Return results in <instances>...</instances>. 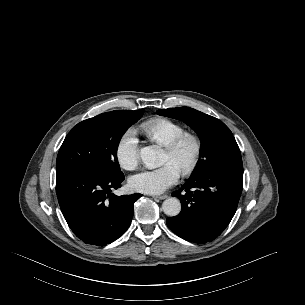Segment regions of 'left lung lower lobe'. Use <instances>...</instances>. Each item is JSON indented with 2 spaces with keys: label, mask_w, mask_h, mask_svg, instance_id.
Listing matches in <instances>:
<instances>
[{
  "label": "left lung lower lobe",
  "mask_w": 305,
  "mask_h": 305,
  "mask_svg": "<svg viewBox=\"0 0 305 305\" xmlns=\"http://www.w3.org/2000/svg\"><path fill=\"white\" fill-rule=\"evenodd\" d=\"M242 185L241 159L224 162L190 178L172 194L180 199L182 209L179 215L167 218L168 227L190 242L214 240L233 218Z\"/></svg>",
  "instance_id": "0a47b994"
}]
</instances>
